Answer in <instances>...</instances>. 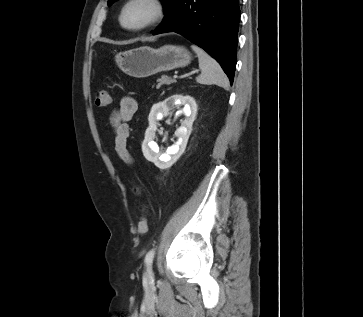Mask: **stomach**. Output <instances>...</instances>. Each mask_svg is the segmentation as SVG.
Segmentation results:
<instances>
[{"label": "stomach", "instance_id": "0dacf381", "mask_svg": "<svg viewBox=\"0 0 363 317\" xmlns=\"http://www.w3.org/2000/svg\"><path fill=\"white\" fill-rule=\"evenodd\" d=\"M115 61L124 73L144 78L185 67L190 63L191 55L187 49L176 45H164L158 49L142 46L118 53Z\"/></svg>", "mask_w": 363, "mask_h": 317}]
</instances>
